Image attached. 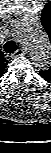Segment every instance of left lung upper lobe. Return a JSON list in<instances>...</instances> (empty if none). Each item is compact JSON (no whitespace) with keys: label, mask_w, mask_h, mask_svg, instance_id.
I'll use <instances>...</instances> for the list:
<instances>
[{"label":"left lung upper lobe","mask_w":51,"mask_h":153,"mask_svg":"<svg viewBox=\"0 0 51 153\" xmlns=\"http://www.w3.org/2000/svg\"><path fill=\"white\" fill-rule=\"evenodd\" d=\"M41 16L42 25L51 41V2L45 5L42 10ZM39 73L43 79L51 82V67L48 70H41L39 71Z\"/></svg>","instance_id":"5c2ea615"}]
</instances>
